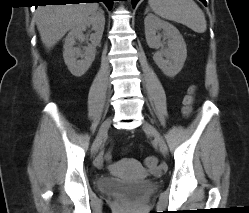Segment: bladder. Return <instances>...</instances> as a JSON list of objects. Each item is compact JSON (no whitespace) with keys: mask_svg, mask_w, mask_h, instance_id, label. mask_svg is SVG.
I'll use <instances>...</instances> for the list:
<instances>
[{"mask_svg":"<svg viewBox=\"0 0 249 213\" xmlns=\"http://www.w3.org/2000/svg\"><path fill=\"white\" fill-rule=\"evenodd\" d=\"M98 187L109 195L140 200L152 194L157 189V183L151 179L129 181L115 177H102L98 181Z\"/></svg>","mask_w":249,"mask_h":213,"instance_id":"1","label":"bladder"}]
</instances>
